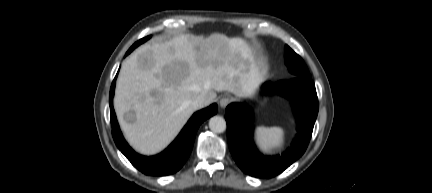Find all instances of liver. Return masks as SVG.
<instances>
[{
	"label": "liver",
	"mask_w": 432,
	"mask_h": 193,
	"mask_svg": "<svg viewBox=\"0 0 432 193\" xmlns=\"http://www.w3.org/2000/svg\"><path fill=\"white\" fill-rule=\"evenodd\" d=\"M263 63L242 38L179 34L140 46L123 63L114 108L128 143L144 155L164 149L195 111L190 103L216 92L247 97L263 80ZM203 106V107H204ZM129 111L135 121L124 118Z\"/></svg>",
	"instance_id": "liver-1"
}]
</instances>
